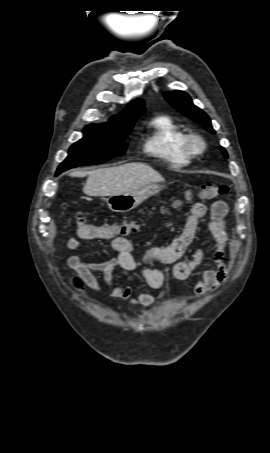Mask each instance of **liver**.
Listing matches in <instances>:
<instances>
[{
  "instance_id": "6515ba94",
  "label": "liver",
  "mask_w": 270,
  "mask_h": 453,
  "mask_svg": "<svg viewBox=\"0 0 270 453\" xmlns=\"http://www.w3.org/2000/svg\"><path fill=\"white\" fill-rule=\"evenodd\" d=\"M87 174L83 192L96 197L129 193L151 183L164 181L151 166L137 162L89 172H72L70 176L84 177Z\"/></svg>"
}]
</instances>
